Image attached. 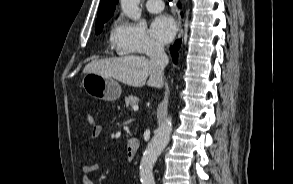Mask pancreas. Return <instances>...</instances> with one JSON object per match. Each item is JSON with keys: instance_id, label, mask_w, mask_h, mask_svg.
Returning <instances> with one entry per match:
<instances>
[{"instance_id": "pancreas-1", "label": "pancreas", "mask_w": 293, "mask_h": 184, "mask_svg": "<svg viewBox=\"0 0 293 184\" xmlns=\"http://www.w3.org/2000/svg\"><path fill=\"white\" fill-rule=\"evenodd\" d=\"M139 102V99L136 97V96H128L125 98V103H126V107H129V106H135L137 105Z\"/></svg>"}]
</instances>
